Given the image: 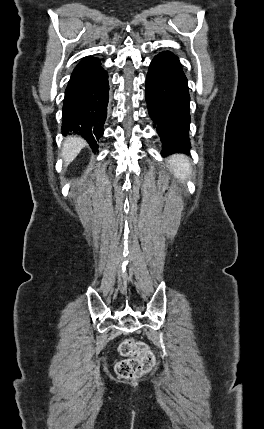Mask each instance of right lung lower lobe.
Returning a JSON list of instances; mask_svg holds the SVG:
<instances>
[{"instance_id": "right-lung-lower-lobe-1", "label": "right lung lower lobe", "mask_w": 264, "mask_h": 429, "mask_svg": "<svg viewBox=\"0 0 264 429\" xmlns=\"http://www.w3.org/2000/svg\"><path fill=\"white\" fill-rule=\"evenodd\" d=\"M107 76L100 59L87 56L74 69L65 91L62 133L82 136L94 150L107 114Z\"/></svg>"}]
</instances>
